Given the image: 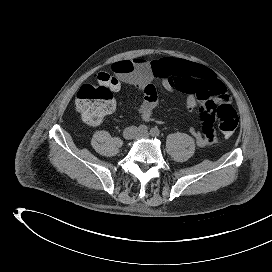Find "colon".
Instances as JSON below:
<instances>
[{
    "label": "colon",
    "instance_id": "colon-1",
    "mask_svg": "<svg viewBox=\"0 0 272 272\" xmlns=\"http://www.w3.org/2000/svg\"><path fill=\"white\" fill-rule=\"evenodd\" d=\"M118 90V81L108 73H99L96 84H85L78 90L75 106L82 120L88 125H98L112 109L114 92ZM214 118L219 130L230 137L236 130L239 118L236 111L227 103L219 105Z\"/></svg>",
    "mask_w": 272,
    "mask_h": 272
}]
</instances>
